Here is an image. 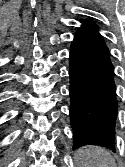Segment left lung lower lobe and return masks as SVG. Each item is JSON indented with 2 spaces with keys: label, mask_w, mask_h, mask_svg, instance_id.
Masks as SVG:
<instances>
[{
  "label": "left lung lower lobe",
  "mask_w": 125,
  "mask_h": 167,
  "mask_svg": "<svg viewBox=\"0 0 125 167\" xmlns=\"http://www.w3.org/2000/svg\"><path fill=\"white\" fill-rule=\"evenodd\" d=\"M70 117L73 150L95 144H115L118 110L114 67L108 48L91 21L77 31L70 51Z\"/></svg>",
  "instance_id": "obj_1"
}]
</instances>
